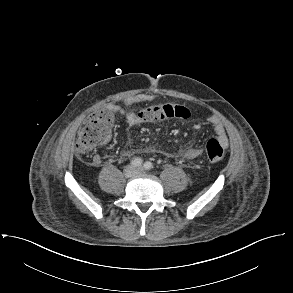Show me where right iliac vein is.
<instances>
[{
  "mask_svg": "<svg viewBox=\"0 0 293 293\" xmlns=\"http://www.w3.org/2000/svg\"><path fill=\"white\" fill-rule=\"evenodd\" d=\"M137 173V170L135 167L133 166H127L125 169H124V175L125 177L127 178H130V177H133L134 175H136Z\"/></svg>",
  "mask_w": 293,
  "mask_h": 293,
  "instance_id": "obj_1",
  "label": "right iliac vein"
}]
</instances>
